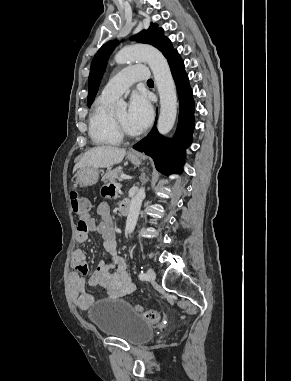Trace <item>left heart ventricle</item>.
Masks as SVG:
<instances>
[{
  "label": "left heart ventricle",
  "instance_id": "left-heart-ventricle-1",
  "mask_svg": "<svg viewBox=\"0 0 291 381\" xmlns=\"http://www.w3.org/2000/svg\"><path fill=\"white\" fill-rule=\"evenodd\" d=\"M117 120L120 122V124L125 128L126 131L129 133L135 134L136 132L130 125L128 120V111L127 110H121L115 114Z\"/></svg>",
  "mask_w": 291,
  "mask_h": 381
}]
</instances>
